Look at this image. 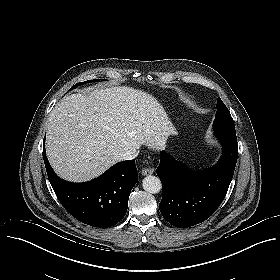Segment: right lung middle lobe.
I'll use <instances>...</instances> for the list:
<instances>
[{"label": "right lung middle lobe", "mask_w": 280, "mask_h": 280, "mask_svg": "<svg viewBox=\"0 0 280 280\" xmlns=\"http://www.w3.org/2000/svg\"><path fill=\"white\" fill-rule=\"evenodd\" d=\"M100 79H95V80H89V81H85V82H80V83H77V84H75L72 88H75L76 86H79V85H81V84H85V83H87V82H94V81H99ZM71 88V89H72Z\"/></svg>", "instance_id": "right-lung-middle-lobe-1"}]
</instances>
